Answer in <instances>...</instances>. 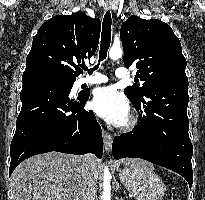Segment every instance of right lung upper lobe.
Segmentation results:
<instances>
[{
	"mask_svg": "<svg viewBox=\"0 0 205 200\" xmlns=\"http://www.w3.org/2000/svg\"><path fill=\"white\" fill-rule=\"evenodd\" d=\"M99 37L100 20L83 12L52 17L33 39L23 76L46 74L75 80L84 60L96 52Z\"/></svg>",
	"mask_w": 205,
	"mask_h": 200,
	"instance_id": "obj_1",
	"label": "right lung upper lobe"
}]
</instances>
